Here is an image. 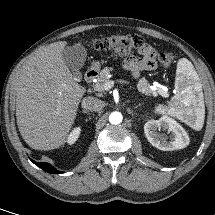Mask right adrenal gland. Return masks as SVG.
Returning <instances> with one entry per match:
<instances>
[{
	"instance_id": "right-adrenal-gland-1",
	"label": "right adrenal gland",
	"mask_w": 215,
	"mask_h": 215,
	"mask_svg": "<svg viewBox=\"0 0 215 215\" xmlns=\"http://www.w3.org/2000/svg\"><path fill=\"white\" fill-rule=\"evenodd\" d=\"M82 112H83V113H86V114H90V112L87 111V110H82Z\"/></svg>"
}]
</instances>
